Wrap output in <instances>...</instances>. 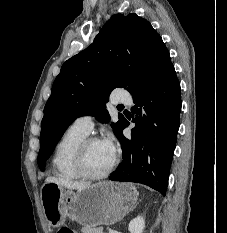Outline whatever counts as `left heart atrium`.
Segmentation results:
<instances>
[{
	"label": "left heart atrium",
	"mask_w": 227,
	"mask_h": 233,
	"mask_svg": "<svg viewBox=\"0 0 227 233\" xmlns=\"http://www.w3.org/2000/svg\"><path fill=\"white\" fill-rule=\"evenodd\" d=\"M101 142L113 155L115 154V144L112 135L108 134Z\"/></svg>",
	"instance_id": "left-heart-atrium-1"
}]
</instances>
